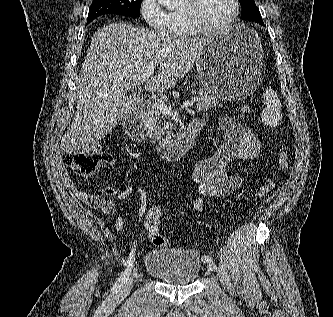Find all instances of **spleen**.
<instances>
[{
	"label": "spleen",
	"instance_id": "3e777b00",
	"mask_svg": "<svg viewBox=\"0 0 333 317\" xmlns=\"http://www.w3.org/2000/svg\"><path fill=\"white\" fill-rule=\"evenodd\" d=\"M263 103L265 108L261 114L262 122L269 127H276L279 125L281 114V102L277 93L267 88L263 93Z\"/></svg>",
	"mask_w": 333,
	"mask_h": 317
}]
</instances>
